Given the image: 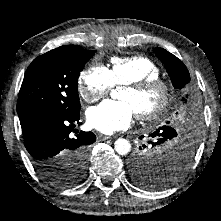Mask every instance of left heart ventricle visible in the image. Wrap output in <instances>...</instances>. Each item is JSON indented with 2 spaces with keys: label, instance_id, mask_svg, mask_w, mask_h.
<instances>
[{
  "label": "left heart ventricle",
  "instance_id": "1",
  "mask_svg": "<svg viewBox=\"0 0 221 221\" xmlns=\"http://www.w3.org/2000/svg\"><path fill=\"white\" fill-rule=\"evenodd\" d=\"M119 99L129 103L134 113H144L155 109L160 104L162 94L158 89L143 94H136L127 88H123Z\"/></svg>",
  "mask_w": 221,
  "mask_h": 221
}]
</instances>
